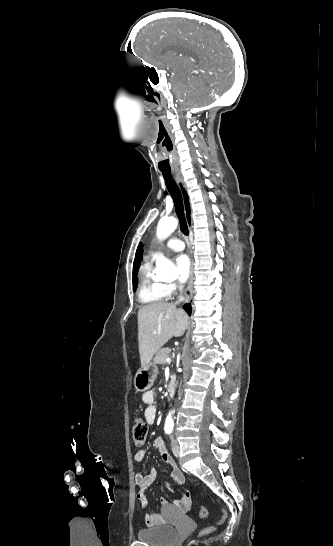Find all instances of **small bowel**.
I'll return each mask as SVG.
<instances>
[{
  "instance_id": "small-bowel-1",
  "label": "small bowel",
  "mask_w": 333,
  "mask_h": 546,
  "mask_svg": "<svg viewBox=\"0 0 333 546\" xmlns=\"http://www.w3.org/2000/svg\"><path fill=\"white\" fill-rule=\"evenodd\" d=\"M142 401L146 405L144 416L148 424H153L156 420L157 410L155 407V393L153 391H147L142 394ZM153 447L158 450L161 460L164 464L170 467L171 481L166 483L169 490L174 491L181 486L184 482L183 473L176 467L172 456L167 451L162 438L157 437L153 441ZM146 457V451L141 449L135 454V460L142 462ZM156 480L155 470L151 469L147 474L137 473L134 475V481L138 487L136 494L137 499L141 503L143 509L147 508L148 501L146 498V491L152 486ZM162 511L158 513H146L144 520L149 526H160L166 523V513L174 510V506L166 499H161ZM175 506L182 512H186L191 508V494L185 492L182 497L175 500Z\"/></svg>"
}]
</instances>
